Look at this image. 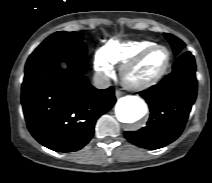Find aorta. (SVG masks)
I'll list each match as a JSON object with an SVG mask.
<instances>
[{
	"label": "aorta",
	"mask_w": 212,
	"mask_h": 183,
	"mask_svg": "<svg viewBox=\"0 0 212 183\" xmlns=\"http://www.w3.org/2000/svg\"><path fill=\"white\" fill-rule=\"evenodd\" d=\"M147 113V105L137 96H125L118 100L115 107L117 119L123 123L139 121Z\"/></svg>",
	"instance_id": "1"
}]
</instances>
